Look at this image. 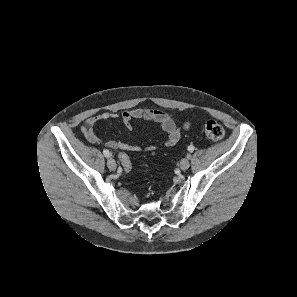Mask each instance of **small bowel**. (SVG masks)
I'll return each mask as SVG.
<instances>
[{
    "label": "small bowel",
    "instance_id": "obj_1",
    "mask_svg": "<svg viewBox=\"0 0 297 297\" xmlns=\"http://www.w3.org/2000/svg\"><path fill=\"white\" fill-rule=\"evenodd\" d=\"M118 116L119 115L117 113L111 111H103L90 116L86 120L83 128L86 139L92 144H103L110 149H119L123 152H138L142 149L145 152H152L156 149L154 145H148L142 148L140 145L128 144L116 140L103 141L95 135L93 128L97 122L102 120L116 119ZM120 118L128 130L132 129V122L135 119H142L157 123L166 134L165 144L170 147L176 145L181 136V128L176 125L173 116L170 113L162 110L140 107L124 111L120 115ZM189 128V123H186L183 126V129L185 130H188Z\"/></svg>",
    "mask_w": 297,
    "mask_h": 297
}]
</instances>
